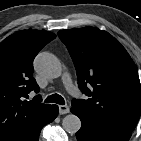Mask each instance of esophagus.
I'll use <instances>...</instances> for the list:
<instances>
[{"instance_id":"esophagus-1","label":"esophagus","mask_w":141,"mask_h":141,"mask_svg":"<svg viewBox=\"0 0 141 141\" xmlns=\"http://www.w3.org/2000/svg\"><path fill=\"white\" fill-rule=\"evenodd\" d=\"M70 112V108L67 105H60L59 106V114L63 115V114H67Z\"/></svg>"}]
</instances>
